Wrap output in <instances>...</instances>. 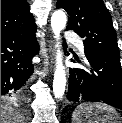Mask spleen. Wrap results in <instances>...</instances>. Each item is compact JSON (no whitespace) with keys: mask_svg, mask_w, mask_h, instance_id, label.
I'll return each mask as SVG.
<instances>
[{"mask_svg":"<svg viewBox=\"0 0 122 123\" xmlns=\"http://www.w3.org/2000/svg\"><path fill=\"white\" fill-rule=\"evenodd\" d=\"M118 112L103 103L80 104L72 114V123H116Z\"/></svg>","mask_w":122,"mask_h":123,"instance_id":"3e777b00","label":"spleen"}]
</instances>
